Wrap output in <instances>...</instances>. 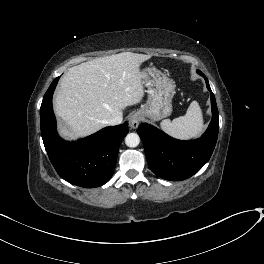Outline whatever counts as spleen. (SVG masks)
Segmentation results:
<instances>
[{"label":"spleen","mask_w":264,"mask_h":264,"mask_svg":"<svg viewBox=\"0 0 264 264\" xmlns=\"http://www.w3.org/2000/svg\"><path fill=\"white\" fill-rule=\"evenodd\" d=\"M161 129L172 137L190 139L197 137L203 131V115L197 101H193L184 116L170 121L165 119L160 124Z\"/></svg>","instance_id":"spleen-1"}]
</instances>
